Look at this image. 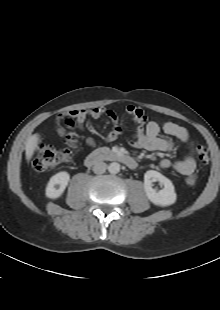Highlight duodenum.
Wrapping results in <instances>:
<instances>
[{
  "mask_svg": "<svg viewBox=\"0 0 220 310\" xmlns=\"http://www.w3.org/2000/svg\"><path fill=\"white\" fill-rule=\"evenodd\" d=\"M101 161L119 162L131 170H134L137 167V163L133 157L120 151L105 148L97 149L88 154L85 158V164L89 167L94 166Z\"/></svg>",
  "mask_w": 220,
  "mask_h": 310,
  "instance_id": "410a0bca",
  "label": "duodenum"
}]
</instances>
